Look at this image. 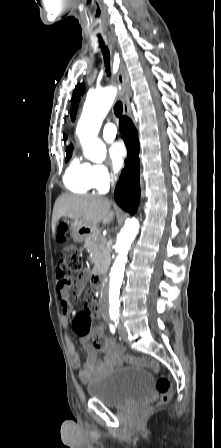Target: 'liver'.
I'll return each instance as SVG.
<instances>
[{
    "mask_svg": "<svg viewBox=\"0 0 221 448\" xmlns=\"http://www.w3.org/2000/svg\"><path fill=\"white\" fill-rule=\"evenodd\" d=\"M115 213L111 202L100 196H77L63 194L55 202L52 217V232L55 236L61 217L81 220L85 225L108 224Z\"/></svg>",
    "mask_w": 221,
    "mask_h": 448,
    "instance_id": "1",
    "label": "liver"
}]
</instances>
